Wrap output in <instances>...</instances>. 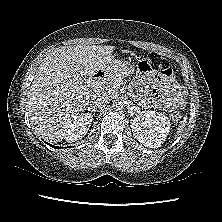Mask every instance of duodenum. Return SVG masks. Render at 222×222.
I'll return each mask as SVG.
<instances>
[{"label": "duodenum", "mask_w": 222, "mask_h": 222, "mask_svg": "<svg viewBox=\"0 0 222 222\" xmlns=\"http://www.w3.org/2000/svg\"><path fill=\"white\" fill-rule=\"evenodd\" d=\"M106 76V72L104 69L96 70L90 78V84L95 87L97 86Z\"/></svg>", "instance_id": "obj_1"}]
</instances>
